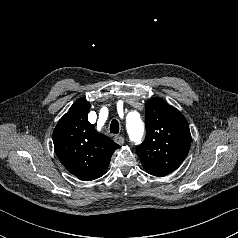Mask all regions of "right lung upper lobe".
Listing matches in <instances>:
<instances>
[{
  "instance_id": "1",
  "label": "right lung upper lobe",
  "mask_w": 238,
  "mask_h": 238,
  "mask_svg": "<svg viewBox=\"0 0 238 238\" xmlns=\"http://www.w3.org/2000/svg\"><path fill=\"white\" fill-rule=\"evenodd\" d=\"M90 104L78 99L59 120L53 132L56 155L70 173L83 181L106 173L113 152L120 146L97 132L88 121Z\"/></svg>"
}]
</instances>
